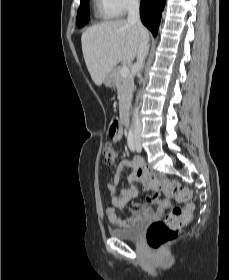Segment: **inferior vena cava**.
<instances>
[{"mask_svg": "<svg viewBox=\"0 0 229 280\" xmlns=\"http://www.w3.org/2000/svg\"><path fill=\"white\" fill-rule=\"evenodd\" d=\"M139 0H129L128 3V23L135 24L140 30L144 31L145 28L141 23L140 20V14H139ZM149 50V36L146 35L143 40L141 41V44L138 49L137 53V62H136V68L138 71H140L143 67L144 59L148 53ZM142 125L140 122V119L138 117V109H135L134 113V123H133V133L135 136H139L141 134Z\"/></svg>", "mask_w": 229, "mask_h": 280, "instance_id": "1", "label": "inferior vena cava"}]
</instances>
